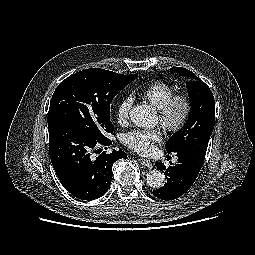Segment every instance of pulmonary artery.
<instances>
[{"mask_svg": "<svg viewBox=\"0 0 255 255\" xmlns=\"http://www.w3.org/2000/svg\"><path fill=\"white\" fill-rule=\"evenodd\" d=\"M174 161H177V158H174Z\"/></svg>", "mask_w": 255, "mask_h": 255, "instance_id": "1", "label": "pulmonary artery"}]
</instances>
